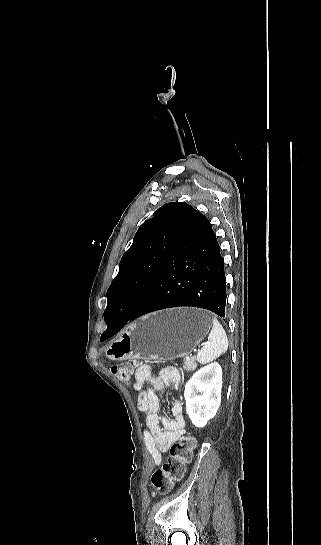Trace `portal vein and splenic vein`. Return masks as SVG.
<instances>
[{
	"mask_svg": "<svg viewBox=\"0 0 321 545\" xmlns=\"http://www.w3.org/2000/svg\"><path fill=\"white\" fill-rule=\"evenodd\" d=\"M206 344H210V341H206V340H201L199 343H198V347L201 349L203 348Z\"/></svg>",
	"mask_w": 321,
	"mask_h": 545,
	"instance_id": "18ae733b",
	"label": "portal vein and splenic vein"
}]
</instances>
